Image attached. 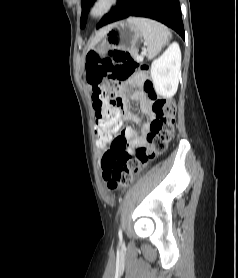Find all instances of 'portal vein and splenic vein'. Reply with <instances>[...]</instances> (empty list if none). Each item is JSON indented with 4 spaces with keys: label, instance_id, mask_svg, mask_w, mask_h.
<instances>
[{
    "label": "portal vein and splenic vein",
    "instance_id": "portal-vein-and-splenic-vein-1",
    "mask_svg": "<svg viewBox=\"0 0 238 278\" xmlns=\"http://www.w3.org/2000/svg\"><path fill=\"white\" fill-rule=\"evenodd\" d=\"M137 59L142 61L143 60V54L141 56H138Z\"/></svg>",
    "mask_w": 238,
    "mask_h": 278
}]
</instances>
